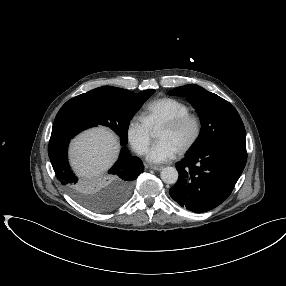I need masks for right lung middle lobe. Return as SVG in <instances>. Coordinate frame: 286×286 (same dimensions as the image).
<instances>
[{
  "label": "right lung middle lobe",
  "mask_w": 286,
  "mask_h": 286,
  "mask_svg": "<svg viewBox=\"0 0 286 286\" xmlns=\"http://www.w3.org/2000/svg\"><path fill=\"white\" fill-rule=\"evenodd\" d=\"M154 92L155 90H145L133 93L118 87H99L67 101L59 110L54 124L74 134L104 125L115 131L120 136L121 145L125 146L130 120ZM105 190L106 188L96 193L86 192L78 200L87 208L102 212L125 200L130 194H126L123 186L112 196L105 193Z\"/></svg>",
  "instance_id": "obj_1"
}]
</instances>
